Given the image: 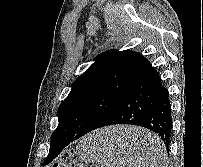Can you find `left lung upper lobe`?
<instances>
[{
  "label": "left lung upper lobe",
  "mask_w": 203,
  "mask_h": 167,
  "mask_svg": "<svg viewBox=\"0 0 203 167\" xmlns=\"http://www.w3.org/2000/svg\"><path fill=\"white\" fill-rule=\"evenodd\" d=\"M147 62L143 55L131 50H109L99 54L87 71L74 81L69 95L60 104L59 124L50 145L58 139L79 138L97 129Z\"/></svg>",
  "instance_id": "obj_1"
}]
</instances>
